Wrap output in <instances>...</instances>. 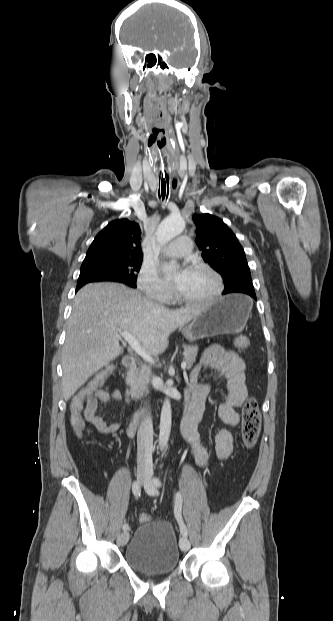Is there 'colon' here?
<instances>
[{"mask_svg": "<svg viewBox=\"0 0 333 621\" xmlns=\"http://www.w3.org/2000/svg\"><path fill=\"white\" fill-rule=\"evenodd\" d=\"M235 344L238 349L244 350L249 347V340L245 336L236 339ZM114 367L108 365L96 373L78 392L73 396L70 403V422L77 435L84 432V420L81 411L85 399L100 388L106 379L112 374ZM242 440L247 448H253L259 438L261 429V413L256 399L250 397L246 400L242 410ZM151 520L148 514H140L138 521L146 523Z\"/></svg>", "mask_w": 333, "mask_h": 621, "instance_id": "1", "label": "colon"}]
</instances>
